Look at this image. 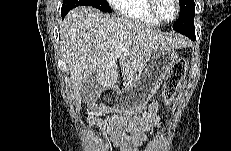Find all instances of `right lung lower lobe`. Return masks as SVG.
I'll list each match as a JSON object with an SVG mask.
<instances>
[{
    "instance_id": "obj_1",
    "label": "right lung lower lobe",
    "mask_w": 231,
    "mask_h": 151,
    "mask_svg": "<svg viewBox=\"0 0 231 151\" xmlns=\"http://www.w3.org/2000/svg\"><path fill=\"white\" fill-rule=\"evenodd\" d=\"M69 11H70L69 9L62 8V9H61V15H62V17L64 18V16H65Z\"/></svg>"
}]
</instances>
